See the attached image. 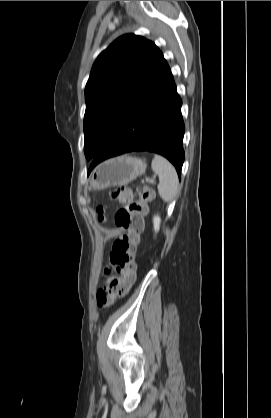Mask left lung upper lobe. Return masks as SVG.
Masks as SVG:
<instances>
[{
	"label": "left lung upper lobe",
	"instance_id": "obj_1",
	"mask_svg": "<svg viewBox=\"0 0 271 418\" xmlns=\"http://www.w3.org/2000/svg\"><path fill=\"white\" fill-rule=\"evenodd\" d=\"M166 66L158 47L134 34L119 37L98 56L85 87L84 153L87 160L100 152Z\"/></svg>",
	"mask_w": 271,
	"mask_h": 418
}]
</instances>
